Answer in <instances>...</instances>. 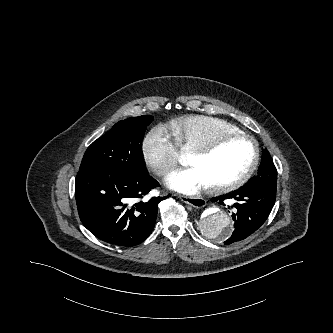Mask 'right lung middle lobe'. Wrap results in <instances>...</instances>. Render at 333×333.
<instances>
[{
  "label": "right lung middle lobe",
  "instance_id": "dd1d6c3e",
  "mask_svg": "<svg viewBox=\"0 0 333 333\" xmlns=\"http://www.w3.org/2000/svg\"><path fill=\"white\" fill-rule=\"evenodd\" d=\"M152 120V116H139L116 123L87 148L79 172L147 173L142 156V140Z\"/></svg>",
  "mask_w": 333,
  "mask_h": 333
}]
</instances>
